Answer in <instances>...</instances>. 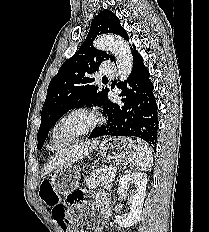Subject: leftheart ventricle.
Here are the masks:
<instances>
[{"mask_svg": "<svg viewBox=\"0 0 209 232\" xmlns=\"http://www.w3.org/2000/svg\"><path fill=\"white\" fill-rule=\"evenodd\" d=\"M85 123H86V118L81 115H78L66 121L63 125V129L69 132L76 131L80 129ZM55 146L56 144L53 143V147Z\"/></svg>", "mask_w": 209, "mask_h": 232, "instance_id": "b2bd125f", "label": "left heart ventricle"}]
</instances>
